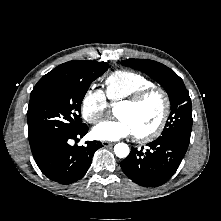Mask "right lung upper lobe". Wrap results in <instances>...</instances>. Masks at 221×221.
I'll return each instance as SVG.
<instances>
[{"label": "right lung upper lobe", "instance_id": "obj_1", "mask_svg": "<svg viewBox=\"0 0 221 221\" xmlns=\"http://www.w3.org/2000/svg\"><path fill=\"white\" fill-rule=\"evenodd\" d=\"M66 71H67V62L64 63V64L59 65L58 67H56L55 69H53L52 71H50L49 73L44 75L39 81H42L46 78H50V77H54V76L64 74Z\"/></svg>", "mask_w": 221, "mask_h": 221}]
</instances>
